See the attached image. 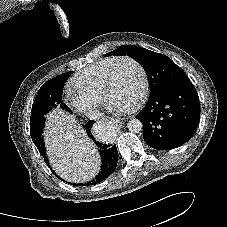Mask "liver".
Instances as JSON below:
<instances>
[{"instance_id": "6515ba94", "label": "liver", "mask_w": 227, "mask_h": 227, "mask_svg": "<svg viewBox=\"0 0 227 227\" xmlns=\"http://www.w3.org/2000/svg\"><path fill=\"white\" fill-rule=\"evenodd\" d=\"M45 141L52 168L69 182L93 179L100 166V158L93 142L87 137L73 116L54 110L48 116Z\"/></svg>"}]
</instances>
